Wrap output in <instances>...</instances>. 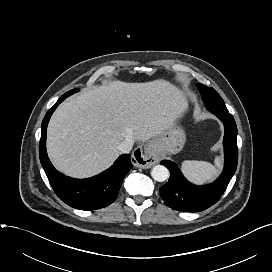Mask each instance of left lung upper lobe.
I'll use <instances>...</instances> for the list:
<instances>
[{
  "label": "left lung upper lobe",
  "instance_id": "obj_1",
  "mask_svg": "<svg viewBox=\"0 0 272 272\" xmlns=\"http://www.w3.org/2000/svg\"><path fill=\"white\" fill-rule=\"evenodd\" d=\"M197 87L206 106L214 103H224L221 96L212 87H207L200 83L197 84Z\"/></svg>",
  "mask_w": 272,
  "mask_h": 272
}]
</instances>
